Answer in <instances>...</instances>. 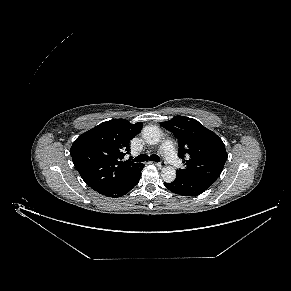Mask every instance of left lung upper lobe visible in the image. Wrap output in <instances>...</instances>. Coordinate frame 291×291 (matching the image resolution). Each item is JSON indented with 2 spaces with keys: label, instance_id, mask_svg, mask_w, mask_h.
<instances>
[{
  "label": "left lung upper lobe",
  "instance_id": "5c2ea615",
  "mask_svg": "<svg viewBox=\"0 0 291 291\" xmlns=\"http://www.w3.org/2000/svg\"><path fill=\"white\" fill-rule=\"evenodd\" d=\"M161 125L178 139V155L184 159V169L177 174L187 179H217L227 160L223 141L197 120L175 116Z\"/></svg>",
  "mask_w": 291,
  "mask_h": 291
}]
</instances>
